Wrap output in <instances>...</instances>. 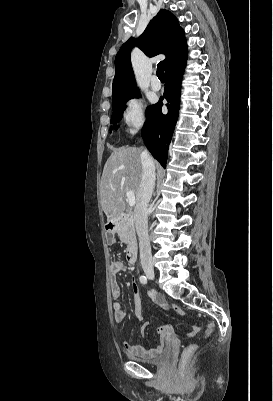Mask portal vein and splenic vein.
Instances as JSON below:
<instances>
[{"label": "portal vein and splenic vein", "instance_id": "18ae733b", "mask_svg": "<svg viewBox=\"0 0 273 401\" xmlns=\"http://www.w3.org/2000/svg\"><path fill=\"white\" fill-rule=\"evenodd\" d=\"M126 196L128 198V203H129L130 207H134V205L136 203V198H135V194H134L133 190H127Z\"/></svg>", "mask_w": 273, "mask_h": 401}]
</instances>
